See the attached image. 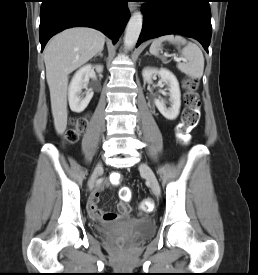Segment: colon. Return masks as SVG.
<instances>
[{
  "mask_svg": "<svg viewBox=\"0 0 258 275\" xmlns=\"http://www.w3.org/2000/svg\"><path fill=\"white\" fill-rule=\"evenodd\" d=\"M183 87L185 89L184 102L185 109L182 114V121L178 126L177 133L179 140L185 142L189 138V134L193 128L199 122L200 118V107L201 101L197 93L198 82L194 78H186L183 82ZM88 120L85 116H81L73 119L72 127L65 132V140L68 143L76 142L82 132L87 127ZM123 180V176L120 173H114L111 176V182L113 184H120ZM131 192L129 188L123 187L120 190V197L124 200L130 198ZM140 210L144 213H148L153 209V202L150 198H145L141 201Z\"/></svg>",
  "mask_w": 258,
  "mask_h": 275,
  "instance_id": "5ec220e1",
  "label": "colon"
}]
</instances>
